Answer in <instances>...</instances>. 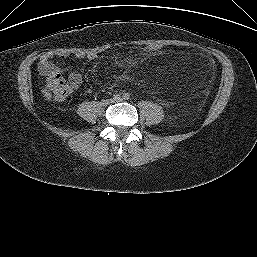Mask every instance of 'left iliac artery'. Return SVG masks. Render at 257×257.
<instances>
[{
    "label": "left iliac artery",
    "instance_id": "left-iliac-artery-1",
    "mask_svg": "<svg viewBox=\"0 0 257 257\" xmlns=\"http://www.w3.org/2000/svg\"><path fill=\"white\" fill-rule=\"evenodd\" d=\"M123 98L127 100V99L130 98V95H129L128 93H124V94H123Z\"/></svg>",
    "mask_w": 257,
    "mask_h": 257
}]
</instances>
